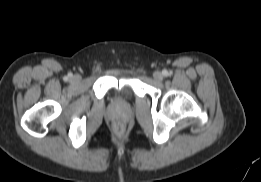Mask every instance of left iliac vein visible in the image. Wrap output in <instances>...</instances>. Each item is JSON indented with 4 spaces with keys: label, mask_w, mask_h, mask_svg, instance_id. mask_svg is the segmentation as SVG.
Wrapping results in <instances>:
<instances>
[{
    "label": "left iliac vein",
    "mask_w": 261,
    "mask_h": 182,
    "mask_svg": "<svg viewBox=\"0 0 261 182\" xmlns=\"http://www.w3.org/2000/svg\"><path fill=\"white\" fill-rule=\"evenodd\" d=\"M153 78L156 80V81H162L163 80V75L161 72L159 71H155L153 73Z\"/></svg>",
    "instance_id": "1"
}]
</instances>
